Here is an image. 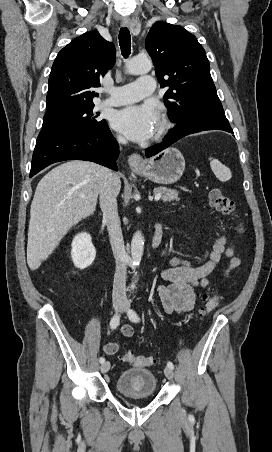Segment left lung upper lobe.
Listing matches in <instances>:
<instances>
[{
	"instance_id": "5c2ea615",
	"label": "left lung upper lobe",
	"mask_w": 272,
	"mask_h": 452,
	"mask_svg": "<svg viewBox=\"0 0 272 452\" xmlns=\"http://www.w3.org/2000/svg\"><path fill=\"white\" fill-rule=\"evenodd\" d=\"M161 87H169L164 103L178 127H229L210 75L204 48L181 26L157 21L145 42Z\"/></svg>"
}]
</instances>
